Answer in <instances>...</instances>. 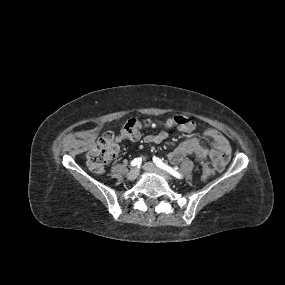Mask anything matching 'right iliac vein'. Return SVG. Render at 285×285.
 <instances>
[{"label": "right iliac vein", "mask_w": 285, "mask_h": 285, "mask_svg": "<svg viewBox=\"0 0 285 285\" xmlns=\"http://www.w3.org/2000/svg\"><path fill=\"white\" fill-rule=\"evenodd\" d=\"M139 175V170L138 168H132L129 173L127 174V179L128 180H135Z\"/></svg>", "instance_id": "obj_1"}]
</instances>
